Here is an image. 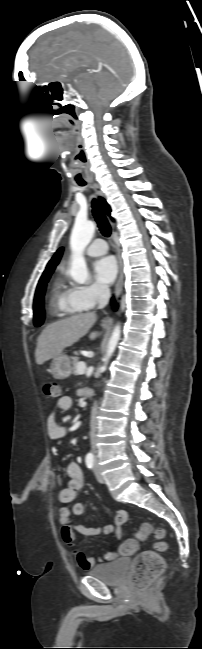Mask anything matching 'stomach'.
<instances>
[{
  "instance_id": "obj_1",
  "label": "stomach",
  "mask_w": 202,
  "mask_h": 649,
  "mask_svg": "<svg viewBox=\"0 0 202 649\" xmlns=\"http://www.w3.org/2000/svg\"><path fill=\"white\" fill-rule=\"evenodd\" d=\"M50 373L55 379L63 380L72 374V362L69 356L60 354L53 358Z\"/></svg>"
}]
</instances>
